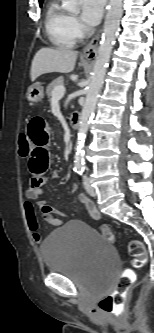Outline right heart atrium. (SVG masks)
<instances>
[{"mask_svg":"<svg viewBox=\"0 0 154 333\" xmlns=\"http://www.w3.org/2000/svg\"><path fill=\"white\" fill-rule=\"evenodd\" d=\"M70 25L73 33L76 35L77 38L81 37L83 35L84 29L79 21V19L75 16H71L70 18Z\"/></svg>","mask_w":154,"mask_h":333,"instance_id":"obj_1","label":"right heart atrium"}]
</instances>
